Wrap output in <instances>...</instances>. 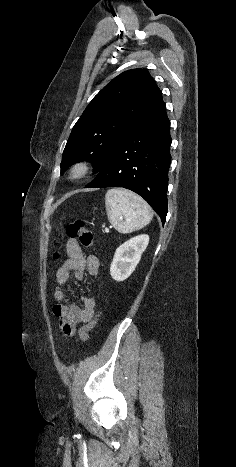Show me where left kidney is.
<instances>
[{
  "mask_svg": "<svg viewBox=\"0 0 236 467\" xmlns=\"http://www.w3.org/2000/svg\"><path fill=\"white\" fill-rule=\"evenodd\" d=\"M148 243L149 236L143 234L120 245L110 266L111 277L118 282L127 279L134 272Z\"/></svg>",
  "mask_w": 236,
  "mask_h": 467,
  "instance_id": "left-kidney-1",
  "label": "left kidney"
}]
</instances>
